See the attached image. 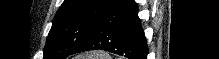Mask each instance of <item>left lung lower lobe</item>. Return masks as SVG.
Segmentation results:
<instances>
[{"instance_id": "0a47b994", "label": "left lung lower lobe", "mask_w": 219, "mask_h": 59, "mask_svg": "<svg viewBox=\"0 0 219 59\" xmlns=\"http://www.w3.org/2000/svg\"><path fill=\"white\" fill-rule=\"evenodd\" d=\"M89 50L147 59L148 47L134 0H112L93 33L72 54Z\"/></svg>"}]
</instances>
